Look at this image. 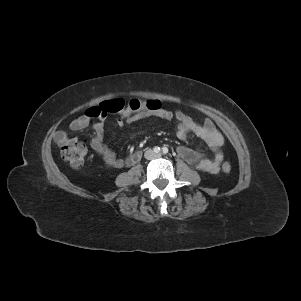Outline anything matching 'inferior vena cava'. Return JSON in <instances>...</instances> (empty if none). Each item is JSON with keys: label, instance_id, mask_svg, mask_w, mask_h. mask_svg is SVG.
<instances>
[{"label": "inferior vena cava", "instance_id": "inferior-vena-cava-1", "mask_svg": "<svg viewBox=\"0 0 301 301\" xmlns=\"http://www.w3.org/2000/svg\"><path fill=\"white\" fill-rule=\"evenodd\" d=\"M144 157L147 160H152V159H155L157 157V154L152 150H147L144 154Z\"/></svg>", "mask_w": 301, "mask_h": 301}]
</instances>
